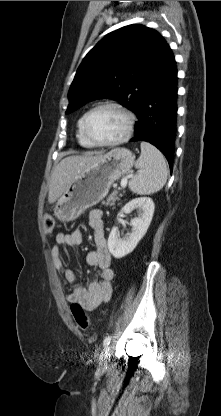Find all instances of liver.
<instances>
[{
  "mask_svg": "<svg viewBox=\"0 0 221 416\" xmlns=\"http://www.w3.org/2000/svg\"><path fill=\"white\" fill-rule=\"evenodd\" d=\"M102 158V155L68 156L57 164L52 172L48 202H56L65 192L74 178L87 167Z\"/></svg>",
  "mask_w": 221,
  "mask_h": 416,
  "instance_id": "liver-1",
  "label": "liver"
}]
</instances>
